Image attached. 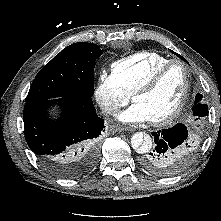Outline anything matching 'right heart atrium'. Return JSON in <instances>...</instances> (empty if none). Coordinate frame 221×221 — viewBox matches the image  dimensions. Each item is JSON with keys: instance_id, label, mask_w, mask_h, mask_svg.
Listing matches in <instances>:
<instances>
[{"instance_id": "d8ad5b80", "label": "right heart atrium", "mask_w": 221, "mask_h": 221, "mask_svg": "<svg viewBox=\"0 0 221 221\" xmlns=\"http://www.w3.org/2000/svg\"><path fill=\"white\" fill-rule=\"evenodd\" d=\"M95 98L104 113L113 115L128 103L130 94L113 73L101 71L97 79Z\"/></svg>"}]
</instances>
